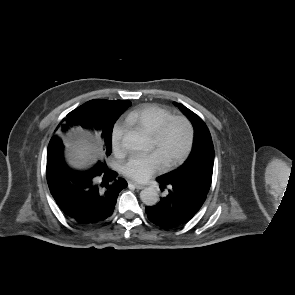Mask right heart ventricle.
<instances>
[{
  "mask_svg": "<svg viewBox=\"0 0 295 295\" xmlns=\"http://www.w3.org/2000/svg\"><path fill=\"white\" fill-rule=\"evenodd\" d=\"M172 116V112L166 108L146 105L131 111L126 117V122L152 135L165 120Z\"/></svg>",
  "mask_w": 295,
  "mask_h": 295,
  "instance_id": "1",
  "label": "right heart ventricle"
}]
</instances>
